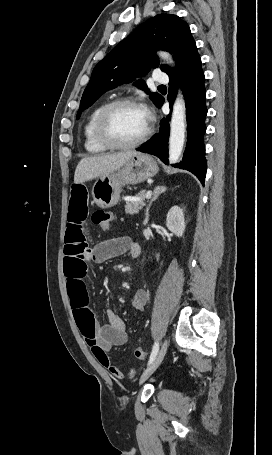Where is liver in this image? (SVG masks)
Here are the masks:
<instances>
[{
    "label": "liver",
    "mask_w": 272,
    "mask_h": 455,
    "mask_svg": "<svg viewBox=\"0 0 272 455\" xmlns=\"http://www.w3.org/2000/svg\"><path fill=\"white\" fill-rule=\"evenodd\" d=\"M139 154L136 151H127L116 154L86 157L78 163L74 183H84L94 178H101L120 168L132 156Z\"/></svg>",
    "instance_id": "obj_1"
}]
</instances>
